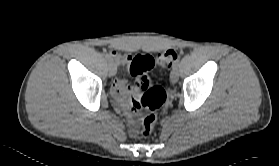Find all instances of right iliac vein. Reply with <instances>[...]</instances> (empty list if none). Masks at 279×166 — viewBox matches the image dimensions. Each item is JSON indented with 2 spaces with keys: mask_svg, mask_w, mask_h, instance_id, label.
<instances>
[{
  "mask_svg": "<svg viewBox=\"0 0 279 166\" xmlns=\"http://www.w3.org/2000/svg\"><path fill=\"white\" fill-rule=\"evenodd\" d=\"M108 69H109V74L111 76H114L117 73V67H116V65L113 62L109 63Z\"/></svg>",
  "mask_w": 279,
  "mask_h": 166,
  "instance_id": "obj_1",
  "label": "right iliac vein"
}]
</instances>
